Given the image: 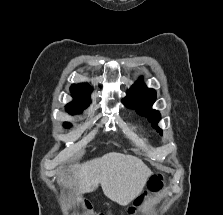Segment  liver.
Segmentation results:
<instances>
[{
    "label": "liver",
    "mask_w": 223,
    "mask_h": 215,
    "mask_svg": "<svg viewBox=\"0 0 223 215\" xmlns=\"http://www.w3.org/2000/svg\"><path fill=\"white\" fill-rule=\"evenodd\" d=\"M71 169L75 175L79 193L93 191L100 183L105 195L127 205L140 195L152 171L135 155L124 153H105L84 163H74Z\"/></svg>",
    "instance_id": "1"
}]
</instances>
